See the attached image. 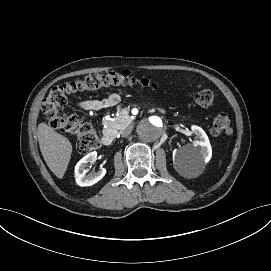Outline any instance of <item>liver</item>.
<instances>
[{
  "label": "liver",
  "mask_w": 271,
  "mask_h": 271,
  "mask_svg": "<svg viewBox=\"0 0 271 271\" xmlns=\"http://www.w3.org/2000/svg\"><path fill=\"white\" fill-rule=\"evenodd\" d=\"M37 137L40 151L49 169L58 178H62L70 159L71 144L43 123L37 127Z\"/></svg>",
  "instance_id": "6515ba94"
}]
</instances>
